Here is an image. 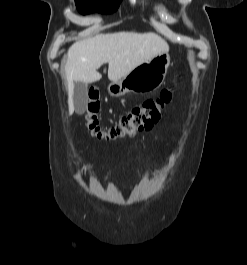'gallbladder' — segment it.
Here are the masks:
<instances>
[{
	"label": "gallbladder",
	"mask_w": 247,
	"mask_h": 265,
	"mask_svg": "<svg viewBox=\"0 0 247 265\" xmlns=\"http://www.w3.org/2000/svg\"><path fill=\"white\" fill-rule=\"evenodd\" d=\"M87 89L88 85L83 82H76L74 85L73 102L77 114H83L86 110L88 103Z\"/></svg>",
	"instance_id": "bac80fb5"
}]
</instances>
